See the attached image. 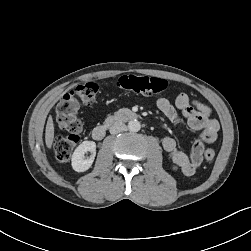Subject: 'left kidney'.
Here are the masks:
<instances>
[{"mask_svg": "<svg viewBox=\"0 0 251 251\" xmlns=\"http://www.w3.org/2000/svg\"><path fill=\"white\" fill-rule=\"evenodd\" d=\"M172 168H173V170H177V167H176V166H173Z\"/></svg>", "mask_w": 251, "mask_h": 251, "instance_id": "left-kidney-1", "label": "left kidney"}]
</instances>
